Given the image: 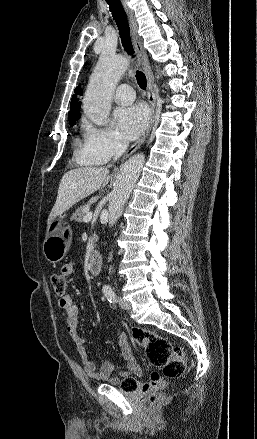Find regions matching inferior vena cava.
<instances>
[{
    "mask_svg": "<svg viewBox=\"0 0 257 439\" xmlns=\"http://www.w3.org/2000/svg\"><path fill=\"white\" fill-rule=\"evenodd\" d=\"M129 142L125 139L119 140L115 146V160H117L127 149Z\"/></svg>",
    "mask_w": 257,
    "mask_h": 439,
    "instance_id": "1",
    "label": "inferior vena cava"
}]
</instances>
